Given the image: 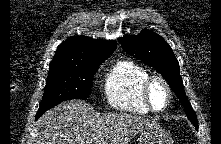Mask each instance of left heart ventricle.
<instances>
[{"label": "left heart ventricle", "instance_id": "1", "mask_svg": "<svg viewBox=\"0 0 221 144\" xmlns=\"http://www.w3.org/2000/svg\"><path fill=\"white\" fill-rule=\"evenodd\" d=\"M151 101L155 108L161 109L165 106L167 101V94L164 86L159 83L155 82L150 91Z\"/></svg>", "mask_w": 221, "mask_h": 144}]
</instances>
